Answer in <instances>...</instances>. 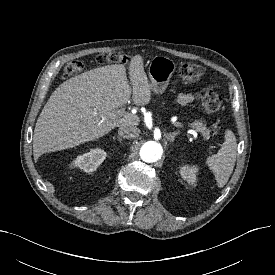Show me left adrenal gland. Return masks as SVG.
<instances>
[{
    "mask_svg": "<svg viewBox=\"0 0 275 275\" xmlns=\"http://www.w3.org/2000/svg\"><path fill=\"white\" fill-rule=\"evenodd\" d=\"M179 134V132H172L166 135V138L170 142H174L175 137Z\"/></svg>",
    "mask_w": 275,
    "mask_h": 275,
    "instance_id": "obj_1",
    "label": "left adrenal gland"
}]
</instances>
